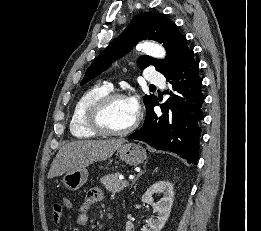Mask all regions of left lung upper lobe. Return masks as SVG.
<instances>
[{"instance_id":"5c2ea615","label":"left lung upper lobe","mask_w":261,"mask_h":231,"mask_svg":"<svg viewBox=\"0 0 261 231\" xmlns=\"http://www.w3.org/2000/svg\"><path fill=\"white\" fill-rule=\"evenodd\" d=\"M143 39H151L163 43L168 55L165 60L142 56L138 61V66L144 69L149 65H153L164 76L174 71L189 56L194 54L188 48L185 36L178 31V27L174 22L160 13H142L135 16L122 35L114 39L92 62L85 73L81 85L106 70L114 60L124 55L136 42ZM156 99L154 95H145L143 101L146 109Z\"/></svg>"}]
</instances>
